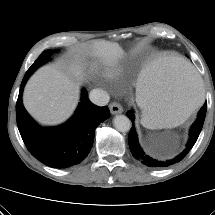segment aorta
Instances as JSON below:
<instances>
[{
    "label": "aorta",
    "instance_id": "obj_1",
    "mask_svg": "<svg viewBox=\"0 0 215 215\" xmlns=\"http://www.w3.org/2000/svg\"><path fill=\"white\" fill-rule=\"evenodd\" d=\"M114 127L120 132H128L131 128V121L125 115H116L113 119Z\"/></svg>",
    "mask_w": 215,
    "mask_h": 215
}]
</instances>
